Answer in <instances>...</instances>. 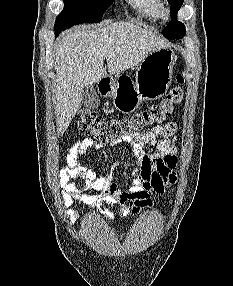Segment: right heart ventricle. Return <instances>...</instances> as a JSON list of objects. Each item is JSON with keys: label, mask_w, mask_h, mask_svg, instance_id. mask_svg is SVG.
Instances as JSON below:
<instances>
[{"label": "right heart ventricle", "mask_w": 233, "mask_h": 286, "mask_svg": "<svg viewBox=\"0 0 233 286\" xmlns=\"http://www.w3.org/2000/svg\"><path fill=\"white\" fill-rule=\"evenodd\" d=\"M129 4L142 16L150 20L157 21L161 17L160 0H129Z\"/></svg>", "instance_id": "right-heart-ventricle-1"}]
</instances>
